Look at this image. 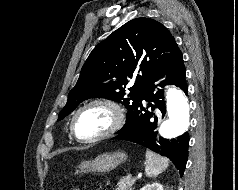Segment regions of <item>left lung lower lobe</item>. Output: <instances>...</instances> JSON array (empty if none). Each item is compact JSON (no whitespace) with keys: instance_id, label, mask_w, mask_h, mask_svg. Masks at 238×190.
I'll return each instance as SVG.
<instances>
[{"instance_id":"obj_1","label":"left lung lower lobe","mask_w":238,"mask_h":190,"mask_svg":"<svg viewBox=\"0 0 238 190\" xmlns=\"http://www.w3.org/2000/svg\"><path fill=\"white\" fill-rule=\"evenodd\" d=\"M183 56L179 50L167 63L159 68L147 82L141 99L126 120L125 125L116 132L114 139L125 140L142 145L158 154L168 157L183 175L188 159L189 135L187 132L175 139H164L156 131L157 121L165 115V84L181 88L187 95ZM143 100L149 103H144ZM153 102L154 104H152Z\"/></svg>"}]
</instances>
